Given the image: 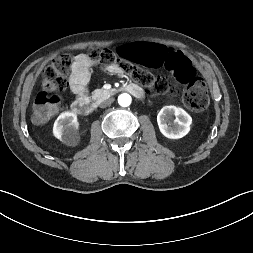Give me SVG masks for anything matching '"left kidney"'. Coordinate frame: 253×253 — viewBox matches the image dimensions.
<instances>
[{"label": "left kidney", "mask_w": 253, "mask_h": 253, "mask_svg": "<svg viewBox=\"0 0 253 253\" xmlns=\"http://www.w3.org/2000/svg\"><path fill=\"white\" fill-rule=\"evenodd\" d=\"M157 123L165 137L179 139L189 133L192 118L183 108L170 105L159 111Z\"/></svg>", "instance_id": "1"}]
</instances>
